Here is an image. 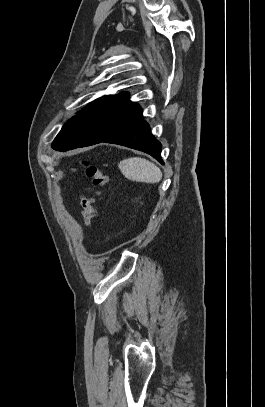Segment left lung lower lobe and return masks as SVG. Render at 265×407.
Returning <instances> with one entry per match:
<instances>
[{"mask_svg": "<svg viewBox=\"0 0 265 407\" xmlns=\"http://www.w3.org/2000/svg\"><path fill=\"white\" fill-rule=\"evenodd\" d=\"M102 142L123 145L129 148L146 152L163 164L161 158L162 145L151 134L149 124L145 120H142V118L121 129ZM74 148L76 147L67 145L58 151H66Z\"/></svg>", "mask_w": 265, "mask_h": 407, "instance_id": "obj_1", "label": "left lung lower lobe"}]
</instances>
